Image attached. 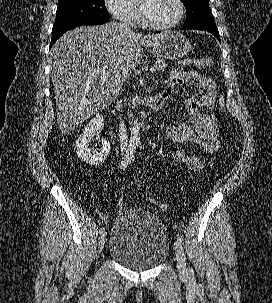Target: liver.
Masks as SVG:
<instances>
[{"label": "liver", "instance_id": "1", "mask_svg": "<svg viewBox=\"0 0 272 303\" xmlns=\"http://www.w3.org/2000/svg\"><path fill=\"white\" fill-rule=\"evenodd\" d=\"M165 35L124 31L116 22L66 32L50 52L61 132L74 131L95 112L107 107L140 63L142 46L152 47Z\"/></svg>", "mask_w": 272, "mask_h": 303}]
</instances>
